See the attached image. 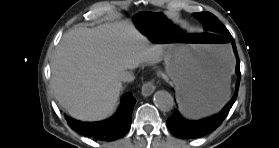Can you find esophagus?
<instances>
[{"mask_svg": "<svg viewBox=\"0 0 279 148\" xmlns=\"http://www.w3.org/2000/svg\"><path fill=\"white\" fill-rule=\"evenodd\" d=\"M155 88H156V86H155L154 81L150 80L143 84L141 93L145 97L150 96L154 92Z\"/></svg>", "mask_w": 279, "mask_h": 148, "instance_id": "1", "label": "esophagus"}]
</instances>
